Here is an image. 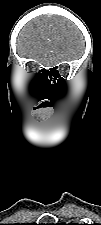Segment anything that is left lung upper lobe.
<instances>
[{
    "label": "left lung upper lobe",
    "mask_w": 101,
    "mask_h": 225,
    "mask_svg": "<svg viewBox=\"0 0 101 225\" xmlns=\"http://www.w3.org/2000/svg\"><path fill=\"white\" fill-rule=\"evenodd\" d=\"M70 225H80V224L74 223V224H70Z\"/></svg>",
    "instance_id": "1"
}]
</instances>
